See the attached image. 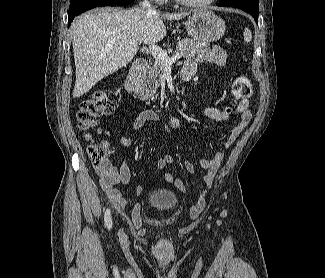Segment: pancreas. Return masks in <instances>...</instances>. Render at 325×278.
<instances>
[{
	"label": "pancreas",
	"instance_id": "pancreas-1",
	"mask_svg": "<svg viewBox=\"0 0 325 278\" xmlns=\"http://www.w3.org/2000/svg\"><path fill=\"white\" fill-rule=\"evenodd\" d=\"M182 52L186 58H195L197 62H209L217 65H224L227 60L226 51L219 46L209 48L207 44L189 38L179 39L175 53ZM164 73V66L155 61L149 68L148 75L144 77L145 88L141 91L143 100L157 99V89L160 79Z\"/></svg>",
	"mask_w": 325,
	"mask_h": 278
}]
</instances>
